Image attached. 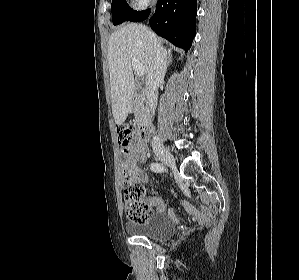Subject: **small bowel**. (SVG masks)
<instances>
[{
	"label": "small bowel",
	"mask_w": 299,
	"mask_h": 280,
	"mask_svg": "<svg viewBox=\"0 0 299 280\" xmlns=\"http://www.w3.org/2000/svg\"><path fill=\"white\" fill-rule=\"evenodd\" d=\"M145 160V145L140 138L135 137L128 147V175L132 181L140 183H147L149 181L147 174L136 165L137 161L144 162ZM144 201L151 210L156 208V210L160 213L166 211L163 199L159 196L146 198ZM184 206L193 219L200 223L208 221L214 215V210L209 206H203L202 210H198L189 203H185Z\"/></svg>",
	"instance_id": "1"
}]
</instances>
